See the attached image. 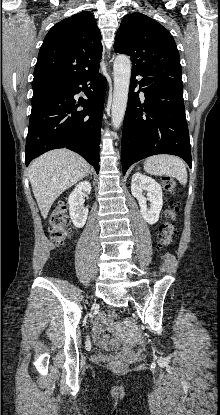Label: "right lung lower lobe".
I'll use <instances>...</instances> for the list:
<instances>
[{"mask_svg": "<svg viewBox=\"0 0 220 415\" xmlns=\"http://www.w3.org/2000/svg\"><path fill=\"white\" fill-rule=\"evenodd\" d=\"M106 87V78L97 71L69 82L60 94L32 104L26 166L49 150L65 147L84 157L98 173ZM81 90L88 99L76 101L74 95ZM80 106L84 109L79 110Z\"/></svg>", "mask_w": 220, "mask_h": 415, "instance_id": "98d812e1", "label": "right lung lower lobe"}]
</instances>
